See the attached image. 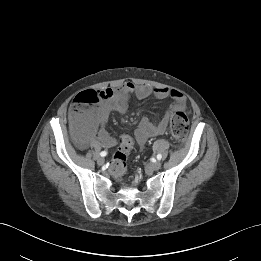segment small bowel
Returning a JSON list of instances; mask_svg holds the SVG:
<instances>
[{"label": "small bowel", "mask_w": 261, "mask_h": 261, "mask_svg": "<svg viewBox=\"0 0 261 261\" xmlns=\"http://www.w3.org/2000/svg\"><path fill=\"white\" fill-rule=\"evenodd\" d=\"M99 97L100 102L89 116L84 126V132L78 140L80 147H85L92 142L96 133L103 147H113L116 144V139L107 130L109 115L112 112L126 113L131 97L139 99L147 97L171 98L173 100V111L184 109L186 105L183 94L176 89L167 87L153 88L148 85H136L132 82H126L117 88L103 89L99 92ZM170 116L171 112H167L162 119L156 122H151L146 118L142 119L134 133L137 146L142 148L149 138L163 134L168 127Z\"/></svg>", "instance_id": "obj_1"}]
</instances>
